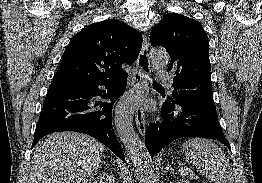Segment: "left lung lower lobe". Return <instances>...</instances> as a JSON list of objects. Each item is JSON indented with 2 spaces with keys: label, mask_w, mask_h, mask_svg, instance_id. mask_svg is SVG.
Segmentation results:
<instances>
[{
  "label": "left lung lower lobe",
  "mask_w": 262,
  "mask_h": 183,
  "mask_svg": "<svg viewBox=\"0 0 262 183\" xmlns=\"http://www.w3.org/2000/svg\"><path fill=\"white\" fill-rule=\"evenodd\" d=\"M162 123H151L146 129L145 144L153 157L172 141L182 137H203L218 140L230 150L218 122L212 101L179 99L163 102Z\"/></svg>",
  "instance_id": "obj_1"
}]
</instances>
